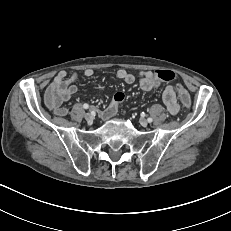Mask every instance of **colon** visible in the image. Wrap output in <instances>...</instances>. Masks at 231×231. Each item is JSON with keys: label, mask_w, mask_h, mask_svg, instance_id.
I'll use <instances>...</instances> for the list:
<instances>
[{"label": "colon", "mask_w": 231, "mask_h": 231, "mask_svg": "<svg viewBox=\"0 0 231 231\" xmlns=\"http://www.w3.org/2000/svg\"><path fill=\"white\" fill-rule=\"evenodd\" d=\"M154 77L158 81L169 82L172 81L175 77L174 73L170 70H158L154 72ZM49 91L44 93L43 99V106L44 107H51L52 103H55L54 94L58 93V86L57 85H50ZM177 96L180 100V104L186 109L191 110L194 107V102L192 101L191 94L185 89L180 86L177 87ZM125 99V95L122 92H117L113 97V102L116 105L122 103Z\"/></svg>", "instance_id": "obj_1"}]
</instances>
